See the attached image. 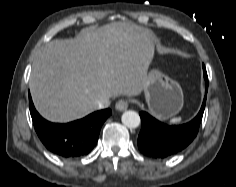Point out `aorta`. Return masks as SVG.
Segmentation results:
<instances>
[{"label":"aorta","mask_w":236,"mask_h":187,"mask_svg":"<svg viewBox=\"0 0 236 187\" xmlns=\"http://www.w3.org/2000/svg\"><path fill=\"white\" fill-rule=\"evenodd\" d=\"M122 123L128 128H137L140 125V116L137 112L128 110L121 117Z\"/></svg>","instance_id":"aorta-1"}]
</instances>
